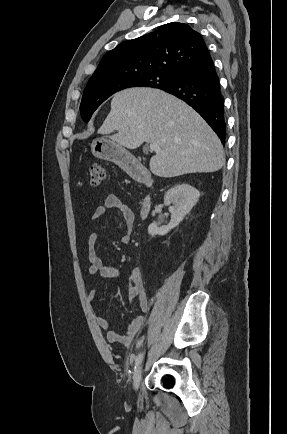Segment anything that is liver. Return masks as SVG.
<instances>
[{
    "label": "liver",
    "mask_w": 287,
    "mask_h": 434,
    "mask_svg": "<svg viewBox=\"0 0 287 434\" xmlns=\"http://www.w3.org/2000/svg\"><path fill=\"white\" fill-rule=\"evenodd\" d=\"M112 142L136 149L157 143L160 152L150 159L151 172L170 178L211 173L225 162L223 146L204 119L182 100L164 91L131 88L116 93L111 111L98 130Z\"/></svg>",
    "instance_id": "1"
}]
</instances>
